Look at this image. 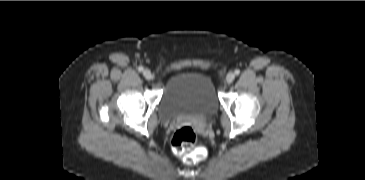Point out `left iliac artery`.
Masks as SVG:
<instances>
[{
	"label": "left iliac artery",
	"mask_w": 365,
	"mask_h": 180,
	"mask_svg": "<svg viewBox=\"0 0 365 180\" xmlns=\"http://www.w3.org/2000/svg\"><path fill=\"white\" fill-rule=\"evenodd\" d=\"M235 74H236V75H239V74H240V70H239V69H236V70H235Z\"/></svg>",
	"instance_id": "left-iliac-artery-1"
}]
</instances>
